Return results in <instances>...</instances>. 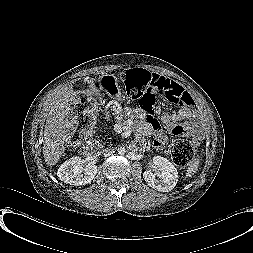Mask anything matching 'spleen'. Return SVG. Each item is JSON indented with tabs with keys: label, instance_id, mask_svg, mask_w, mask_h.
<instances>
[{
	"label": "spleen",
	"instance_id": "3e777b00",
	"mask_svg": "<svg viewBox=\"0 0 253 253\" xmlns=\"http://www.w3.org/2000/svg\"><path fill=\"white\" fill-rule=\"evenodd\" d=\"M198 165H199V160L198 159H195L190 165H189V168L187 170V177H191L193 173L196 172L197 168H198Z\"/></svg>",
	"mask_w": 253,
	"mask_h": 253
}]
</instances>
